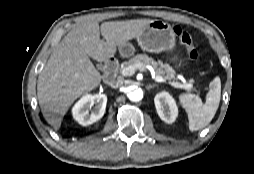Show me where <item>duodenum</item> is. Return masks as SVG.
I'll return each instance as SVG.
<instances>
[{"instance_id": "duodenum-1", "label": "duodenum", "mask_w": 254, "mask_h": 174, "mask_svg": "<svg viewBox=\"0 0 254 174\" xmlns=\"http://www.w3.org/2000/svg\"><path fill=\"white\" fill-rule=\"evenodd\" d=\"M118 70V63L115 58L110 57L107 59L104 68V80L107 83H112L116 79Z\"/></svg>"}]
</instances>
